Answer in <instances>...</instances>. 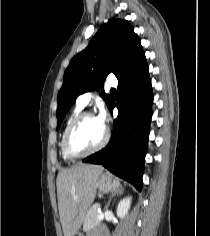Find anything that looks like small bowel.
<instances>
[{"mask_svg": "<svg viewBox=\"0 0 210 236\" xmlns=\"http://www.w3.org/2000/svg\"><path fill=\"white\" fill-rule=\"evenodd\" d=\"M89 236H103V235H102V232L100 230H97V231L91 233Z\"/></svg>", "mask_w": 210, "mask_h": 236, "instance_id": "1", "label": "small bowel"}]
</instances>
